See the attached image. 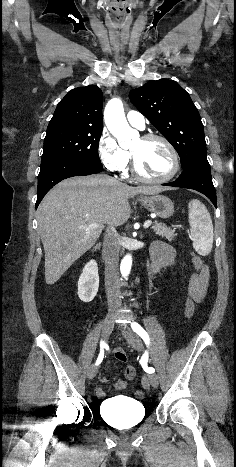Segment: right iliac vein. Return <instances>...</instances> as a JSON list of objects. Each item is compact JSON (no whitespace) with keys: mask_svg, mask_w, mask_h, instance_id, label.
Returning <instances> with one entry per match:
<instances>
[{"mask_svg":"<svg viewBox=\"0 0 236 467\" xmlns=\"http://www.w3.org/2000/svg\"><path fill=\"white\" fill-rule=\"evenodd\" d=\"M114 328V321H113V316L108 315L102 325V337L107 340L110 334L112 333ZM98 372V367L97 365H92L88 372H87V378L89 380H92Z\"/></svg>","mask_w":236,"mask_h":467,"instance_id":"obj_1","label":"right iliac vein"}]
</instances>
